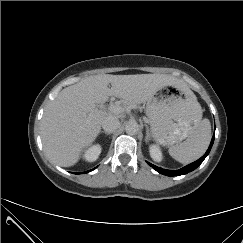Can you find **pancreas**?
<instances>
[{
    "mask_svg": "<svg viewBox=\"0 0 243 243\" xmlns=\"http://www.w3.org/2000/svg\"><path fill=\"white\" fill-rule=\"evenodd\" d=\"M122 105H129V103H125V102H123Z\"/></svg>",
    "mask_w": 243,
    "mask_h": 243,
    "instance_id": "1",
    "label": "pancreas"
}]
</instances>
